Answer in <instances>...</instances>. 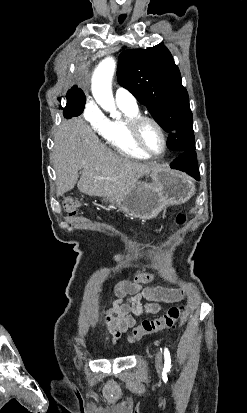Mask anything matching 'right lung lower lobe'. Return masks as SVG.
Here are the masks:
<instances>
[{
	"label": "right lung lower lobe",
	"mask_w": 247,
	"mask_h": 413,
	"mask_svg": "<svg viewBox=\"0 0 247 413\" xmlns=\"http://www.w3.org/2000/svg\"><path fill=\"white\" fill-rule=\"evenodd\" d=\"M63 112H64V117L66 119H69V118H72V117L76 116L75 114L69 112L66 108L63 109Z\"/></svg>",
	"instance_id": "right-lung-lower-lobe-1"
}]
</instances>
